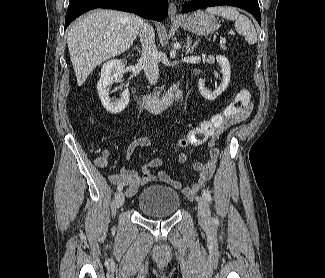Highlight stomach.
I'll return each instance as SVG.
<instances>
[{
	"instance_id": "0dacf381",
	"label": "stomach",
	"mask_w": 325,
	"mask_h": 278,
	"mask_svg": "<svg viewBox=\"0 0 325 278\" xmlns=\"http://www.w3.org/2000/svg\"><path fill=\"white\" fill-rule=\"evenodd\" d=\"M177 24L183 29L198 35H209L218 29L216 18L205 11H196L187 18L178 21Z\"/></svg>"
}]
</instances>
